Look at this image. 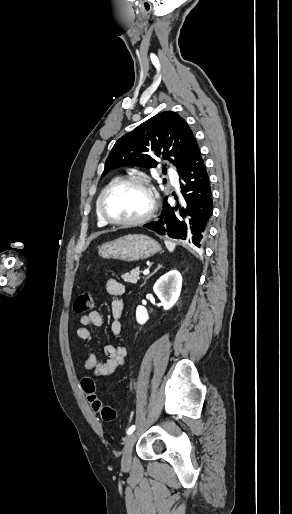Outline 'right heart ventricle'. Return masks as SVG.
<instances>
[{"label":"right heart ventricle","mask_w":292,"mask_h":514,"mask_svg":"<svg viewBox=\"0 0 292 514\" xmlns=\"http://www.w3.org/2000/svg\"><path fill=\"white\" fill-rule=\"evenodd\" d=\"M101 192L98 194L96 201H95V214H96V220H97L98 226L104 227L107 225V222L99 215V212H98V198H99V195L101 194Z\"/></svg>","instance_id":"e07e8e85"}]
</instances>
